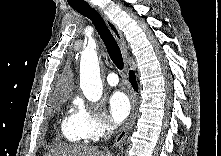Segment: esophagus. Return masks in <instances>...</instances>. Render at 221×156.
<instances>
[{
    "mask_svg": "<svg viewBox=\"0 0 221 156\" xmlns=\"http://www.w3.org/2000/svg\"><path fill=\"white\" fill-rule=\"evenodd\" d=\"M86 1L90 5V7H92L96 11H98L102 15V17L104 18L107 27L109 28L112 35L114 36V38L116 39V41L118 42V44L120 46V49H121V52H122V55L124 58L125 66L127 69L128 68V66H127L128 52H127L126 42L124 40L122 33L120 32L118 27L103 13V11L99 7L92 4L90 2V0H86ZM136 114H137V100H136V96L134 95L133 99H132V113H131L130 121L126 124V126L121 130V132L116 137L114 144H113L114 147L119 146L123 142L128 130L131 128V126L136 118Z\"/></svg>",
    "mask_w": 221,
    "mask_h": 156,
    "instance_id": "esophagus-1",
    "label": "esophagus"
}]
</instances>
